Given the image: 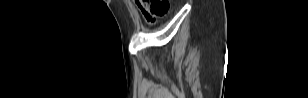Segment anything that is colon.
I'll return each instance as SVG.
<instances>
[{"instance_id": "colon-1", "label": "colon", "mask_w": 308, "mask_h": 98, "mask_svg": "<svg viewBox=\"0 0 308 98\" xmlns=\"http://www.w3.org/2000/svg\"><path fill=\"white\" fill-rule=\"evenodd\" d=\"M145 19L153 24L158 18L165 16L169 10L168 0H135Z\"/></svg>"}]
</instances>
